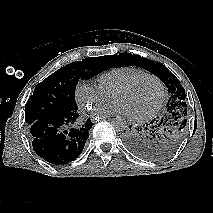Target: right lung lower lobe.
I'll list each match as a JSON object with an SVG mask.
<instances>
[{"label": "right lung lower lobe", "mask_w": 213, "mask_h": 213, "mask_svg": "<svg viewBox=\"0 0 213 213\" xmlns=\"http://www.w3.org/2000/svg\"><path fill=\"white\" fill-rule=\"evenodd\" d=\"M92 125L90 118L81 123L77 110L38 120L29 126L33 149L49 163L67 164L82 153Z\"/></svg>", "instance_id": "1"}]
</instances>
